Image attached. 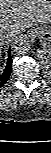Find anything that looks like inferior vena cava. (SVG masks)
I'll return each instance as SVG.
<instances>
[{
    "label": "inferior vena cava",
    "mask_w": 51,
    "mask_h": 153,
    "mask_svg": "<svg viewBox=\"0 0 51 153\" xmlns=\"http://www.w3.org/2000/svg\"><path fill=\"white\" fill-rule=\"evenodd\" d=\"M8 36L6 33H0V45H5L7 43Z\"/></svg>",
    "instance_id": "1"
}]
</instances>
